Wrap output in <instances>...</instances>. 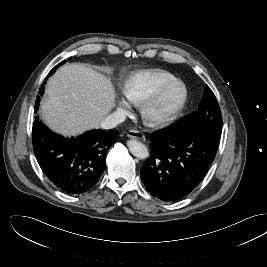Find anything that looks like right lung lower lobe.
Instances as JSON below:
<instances>
[{
	"mask_svg": "<svg viewBox=\"0 0 267 267\" xmlns=\"http://www.w3.org/2000/svg\"><path fill=\"white\" fill-rule=\"evenodd\" d=\"M117 138L116 130H92L64 138L50 131L38 116L33 125L34 152L41 169L69 194H81L95 186L105 169L107 151Z\"/></svg>",
	"mask_w": 267,
	"mask_h": 267,
	"instance_id": "98d812e1",
	"label": "right lung lower lobe"
}]
</instances>
